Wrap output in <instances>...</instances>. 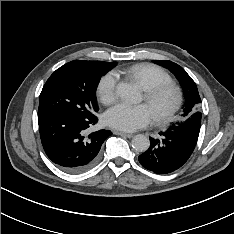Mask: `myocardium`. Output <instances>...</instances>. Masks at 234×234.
<instances>
[{
	"label": "myocardium",
	"instance_id": "1",
	"mask_svg": "<svg viewBox=\"0 0 234 234\" xmlns=\"http://www.w3.org/2000/svg\"><path fill=\"white\" fill-rule=\"evenodd\" d=\"M170 93L173 97L169 108L161 114L153 115L154 121L158 124H165L172 121L179 112L183 95L178 86L173 83H162L145 90L144 100L147 104L154 103L161 95Z\"/></svg>",
	"mask_w": 234,
	"mask_h": 234
}]
</instances>
